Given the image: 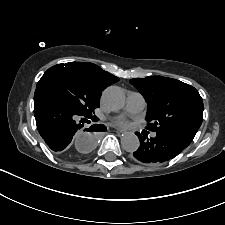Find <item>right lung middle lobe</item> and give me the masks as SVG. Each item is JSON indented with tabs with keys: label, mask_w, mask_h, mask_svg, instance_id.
<instances>
[{
	"label": "right lung middle lobe",
	"mask_w": 225,
	"mask_h": 225,
	"mask_svg": "<svg viewBox=\"0 0 225 225\" xmlns=\"http://www.w3.org/2000/svg\"><path fill=\"white\" fill-rule=\"evenodd\" d=\"M36 90L48 92L86 117H93L101 96L82 76L62 64L49 68Z\"/></svg>",
	"instance_id": "obj_1"
}]
</instances>
